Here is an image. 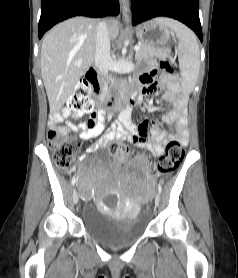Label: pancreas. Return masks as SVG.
Segmentation results:
<instances>
[{
  "label": "pancreas",
  "instance_id": "pancreas-1",
  "mask_svg": "<svg viewBox=\"0 0 238 278\" xmlns=\"http://www.w3.org/2000/svg\"><path fill=\"white\" fill-rule=\"evenodd\" d=\"M140 50L136 52L135 58L137 61H140L142 59H146L149 57H157V58H165L169 54L168 49L163 48H156L151 45H147L145 43H139ZM112 83H114V80L111 79Z\"/></svg>",
  "mask_w": 238,
  "mask_h": 278
}]
</instances>
